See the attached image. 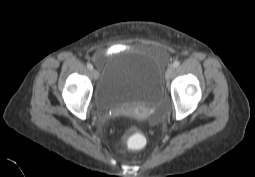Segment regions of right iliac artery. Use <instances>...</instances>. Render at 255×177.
<instances>
[{"label":"right iliac artery","instance_id":"right-iliac-artery-1","mask_svg":"<svg viewBox=\"0 0 255 177\" xmlns=\"http://www.w3.org/2000/svg\"><path fill=\"white\" fill-rule=\"evenodd\" d=\"M87 68H88L89 70H92V69H93L92 64L88 63V64H87Z\"/></svg>","mask_w":255,"mask_h":177}]
</instances>
